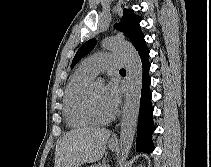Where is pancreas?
<instances>
[{"label": "pancreas", "instance_id": "pancreas-1", "mask_svg": "<svg viewBox=\"0 0 211 167\" xmlns=\"http://www.w3.org/2000/svg\"><path fill=\"white\" fill-rule=\"evenodd\" d=\"M91 167H109V166H107L106 164H101V163H99V164H96V165H92Z\"/></svg>", "mask_w": 211, "mask_h": 167}]
</instances>
